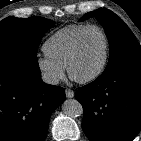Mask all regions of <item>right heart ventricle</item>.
<instances>
[{
	"mask_svg": "<svg viewBox=\"0 0 141 141\" xmlns=\"http://www.w3.org/2000/svg\"><path fill=\"white\" fill-rule=\"evenodd\" d=\"M88 26L71 24L56 31L43 44L45 55L66 67L77 37Z\"/></svg>",
	"mask_w": 141,
	"mask_h": 141,
	"instance_id": "right-heart-ventricle-1",
	"label": "right heart ventricle"
}]
</instances>
